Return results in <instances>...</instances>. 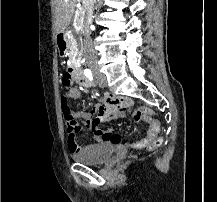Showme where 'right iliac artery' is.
I'll return each instance as SVG.
<instances>
[{"mask_svg":"<svg viewBox=\"0 0 217 202\" xmlns=\"http://www.w3.org/2000/svg\"><path fill=\"white\" fill-rule=\"evenodd\" d=\"M85 75H86L90 80L93 79V77H92V73H91L90 70L85 71Z\"/></svg>","mask_w":217,"mask_h":202,"instance_id":"right-iliac-artery-1","label":"right iliac artery"}]
</instances>
